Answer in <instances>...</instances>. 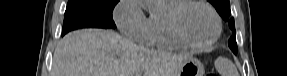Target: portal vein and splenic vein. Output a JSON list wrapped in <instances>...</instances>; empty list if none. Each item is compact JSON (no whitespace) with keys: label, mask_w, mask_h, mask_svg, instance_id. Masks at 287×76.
Here are the masks:
<instances>
[{"label":"portal vein and splenic vein","mask_w":287,"mask_h":76,"mask_svg":"<svg viewBox=\"0 0 287 76\" xmlns=\"http://www.w3.org/2000/svg\"><path fill=\"white\" fill-rule=\"evenodd\" d=\"M141 74H137L136 76H140Z\"/></svg>","instance_id":"1"}]
</instances>
